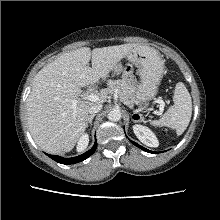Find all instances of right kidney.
<instances>
[{"mask_svg": "<svg viewBox=\"0 0 220 220\" xmlns=\"http://www.w3.org/2000/svg\"><path fill=\"white\" fill-rule=\"evenodd\" d=\"M89 143V136L88 134H83L82 137L79 139L77 144V151L81 152L86 149Z\"/></svg>", "mask_w": 220, "mask_h": 220, "instance_id": "ca27d5eb", "label": "right kidney"}]
</instances>
